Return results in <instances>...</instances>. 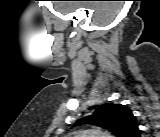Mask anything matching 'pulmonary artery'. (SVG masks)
I'll use <instances>...</instances> for the list:
<instances>
[{
	"mask_svg": "<svg viewBox=\"0 0 160 137\" xmlns=\"http://www.w3.org/2000/svg\"><path fill=\"white\" fill-rule=\"evenodd\" d=\"M79 137H104L100 134H98L97 132H84L81 135H79Z\"/></svg>",
	"mask_w": 160,
	"mask_h": 137,
	"instance_id": "obj_1",
	"label": "pulmonary artery"
}]
</instances>
